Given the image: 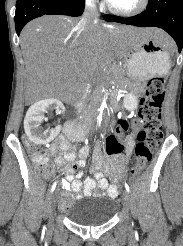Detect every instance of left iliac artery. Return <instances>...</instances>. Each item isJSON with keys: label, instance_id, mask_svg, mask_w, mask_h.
I'll list each match as a JSON object with an SVG mask.
<instances>
[{"label": "left iliac artery", "instance_id": "left-iliac-artery-1", "mask_svg": "<svg viewBox=\"0 0 183 246\" xmlns=\"http://www.w3.org/2000/svg\"><path fill=\"white\" fill-rule=\"evenodd\" d=\"M125 188H126V191L129 193L130 192V188H129L128 183H126V182H125Z\"/></svg>", "mask_w": 183, "mask_h": 246}]
</instances>
